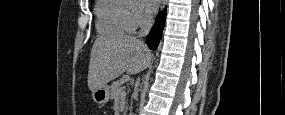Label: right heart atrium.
Segmentation results:
<instances>
[{
  "label": "right heart atrium",
  "mask_w": 285,
  "mask_h": 115,
  "mask_svg": "<svg viewBox=\"0 0 285 115\" xmlns=\"http://www.w3.org/2000/svg\"><path fill=\"white\" fill-rule=\"evenodd\" d=\"M150 22L149 16H147L142 10L132 11L129 15V32L135 31L140 27L146 26Z\"/></svg>",
  "instance_id": "d8ad5b80"
}]
</instances>
